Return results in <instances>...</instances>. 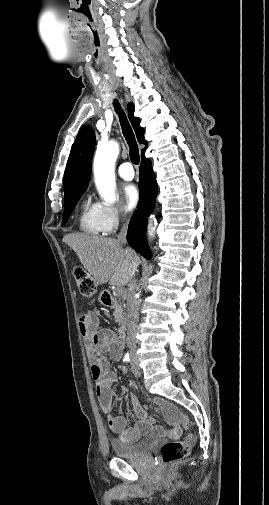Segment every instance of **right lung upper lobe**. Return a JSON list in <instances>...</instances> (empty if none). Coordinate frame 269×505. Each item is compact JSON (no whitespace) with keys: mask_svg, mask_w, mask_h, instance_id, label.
<instances>
[{"mask_svg":"<svg viewBox=\"0 0 269 505\" xmlns=\"http://www.w3.org/2000/svg\"><path fill=\"white\" fill-rule=\"evenodd\" d=\"M134 110L133 103H129L128 114L138 142L147 147V141L144 138V128L140 126V119L133 116ZM94 144V131L90 126L83 127L73 143L68 158L64 175V200L87 189L91 174V158ZM146 147L141 150L142 157Z\"/></svg>","mask_w":269,"mask_h":505,"instance_id":"1","label":"right lung upper lobe"}]
</instances>
